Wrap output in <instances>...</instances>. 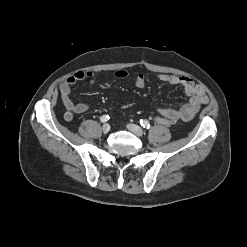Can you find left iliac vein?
<instances>
[{"mask_svg": "<svg viewBox=\"0 0 247 247\" xmlns=\"http://www.w3.org/2000/svg\"><path fill=\"white\" fill-rule=\"evenodd\" d=\"M127 128L129 131H131L132 133H134L135 135H137L139 137L144 134L143 129L136 124H128Z\"/></svg>", "mask_w": 247, "mask_h": 247, "instance_id": "1", "label": "left iliac vein"}]
</instances>
